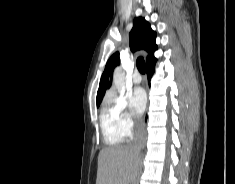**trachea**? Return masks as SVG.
I'll return each mask as SVG.
<instances>
[{
	"label": "trachea",
	"instance_id": "3493384b",
	"mask_svg": "<svg viewBox=\"0 0 235 184\" xmlns=\"http://www.w3.org/2000/svg\"><path fill=\"white\" fill-rule=\"evenodd\" d=\"M137 68L139 70V72H141V74L145 73V62L144 59L142 57L137 58Z\"/></svg>",
	"mask_w": 235,
	"mask_h": 184
}]
</instances>
